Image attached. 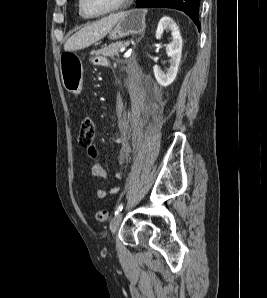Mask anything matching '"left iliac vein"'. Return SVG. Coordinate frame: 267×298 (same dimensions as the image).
<instances>
[{"label":"left iliac vein","mask_w":267,"mask_h":298,"mask_svg":"<svg viewBox=\"0 0 267 298\" xmlns=\"http://www.w3.org/2000/svg\"><path fill=\"white\" fill-rule=\"evenodd\" d=\"M122 220V213L115 215V217L110 222V231L112 235H114L121 223Z\"/></svg>","instance_id":"obj_1"}]
</instances>
